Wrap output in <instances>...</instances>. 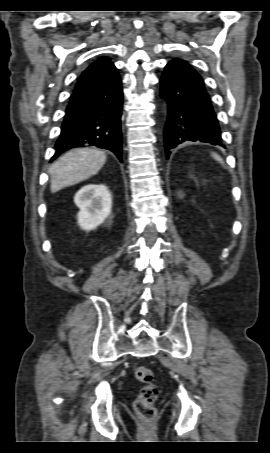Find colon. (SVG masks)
<instances>
[{
	"instance_id": "obj_1",
	"label": "colon",
	"mask_w": 270,
	"mask_h": 453,
	"mask_svg": "<svg viewBox=\"0 0 270 453\" xmlns=\"http://www.w3.org/2000/svg\"><path fill=\"white\" fill-rule=\"evenodd\" d=\"M135 378L144 384L135 401V410L143 420L150 421L155 417L154 402L158 397V388L154 384L153 373L147 366H137L134 370Z\"/></svg>"
}]
</instances>
